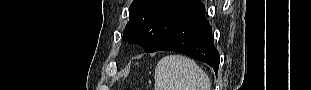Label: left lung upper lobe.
Wrapping results in <instances>:
<instances>
[{"label": "left lung upper lobe", "mask_w": 311, "mask_h": 90, "mask_svg": "<svg viewBox=\"0 0 311 90\" xmlns=\"http://www.w3.org/2000/svg\"><path fill=\"white\" fill-rule=\"evenodd\" d=\"M200 4V0H133L122 39L150 52L177 21Z\"/></svg>", "instance_id": "1"}]
</instances>
